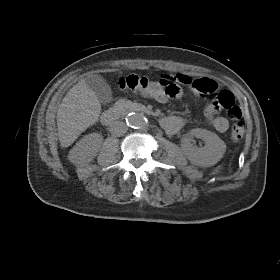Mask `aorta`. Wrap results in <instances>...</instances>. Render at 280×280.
I'll return each instance as SVG.
<instances>
[{"label": "aorta", "instance_id": "1", "mask_svg": "<svg viewBox=\"0 0 280 280\" xmlns=\"http://www.w3.org/2000/svg\"><path fill=\"white\" fill-rule=\"evenodd\" d=\"M126 123L134 129H140L147 125V118L141 113H130L126 117Z\"/></svg>", "mask_w": 280, "mask_h": 280}]
</instances>
